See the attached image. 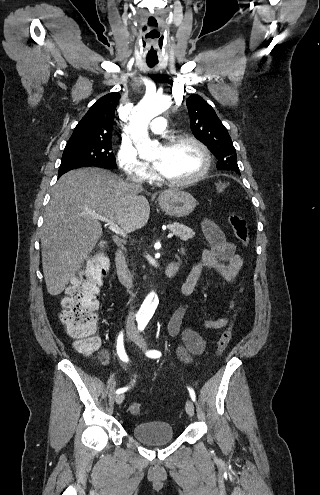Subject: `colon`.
Wrapping results in <instances>:
<instances>
[{
	"label": "colon",
	"mask_w": 320,
	"mask_h": 495,
	"mask_svg": "<svg viewBox=\"0 0 320 495\" xmlns=\"http://www.w3.org/2000/svg\"><path fill=\"white\" fill-rule=\"evenodd\" d=\"M228 187L229 182H219L216 191L222 194ZM228 219L237 241L246 247L249 243V232L245 218L238 213H230ZM109 270V258L103 251H98L90 257L86 267L69 285L62 301L61 321L67 333L75 339L76 348L84 354H93L99 348V339L95 335L98 293ZM232 328L233 324L230 323L220 334L217 342L218 354L227 349L232 337ZM129 411L134 415L140 414L141 403L131 402Z\"/></svg>",
	"instance_id": "5ec220e1"
}]
</instances>
